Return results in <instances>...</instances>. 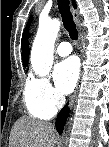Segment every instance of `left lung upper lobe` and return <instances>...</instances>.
I'll return each instance as SVG.
<instances>
[{"instance_id":"left-lung-upper-lobe-1","label":"left lung upper lobe","mask_w":109,"mask_h":147,"mask_svg":"<svg viewBox=\"0 0 109 147\" xmlns=\"http://www.w3.org/2000/svg\"><path fill=\"white\" fill-rule=\"evenodd\" d=\"M30 23H31V19H29V21H28V24H27V26H26V29H25L24 35H25L26 31L28 30V28H29V26H30Z\"/></svg>"}]
</instances>
